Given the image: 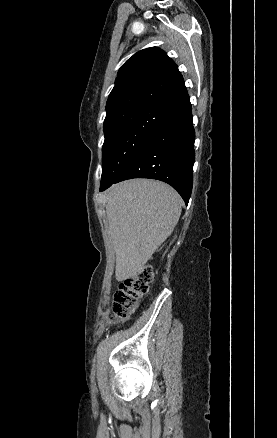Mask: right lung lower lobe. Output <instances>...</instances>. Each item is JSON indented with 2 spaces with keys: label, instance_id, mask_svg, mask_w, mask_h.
Returning a JSON list of instances; mask_svg holds the SVG:
<instances>
[{
  "label": "right lung lower lobe",
  "instance_id": "obj_1",
  "mask_svg": "<svg viewBox=\"0 0 277 438\" xmlns=\"http://www.w3.org/2000/svg\"><path fill=\"white\" fill-rule=\"evenodd\" d=\"M195 132L188 95L172 104L141 149L118 177L100 191L132 178H151L170 184L188 204L193 185Z\"/></svg>",
  "mask_w": 277,
  "mask_h": 438
}]
</instances>
